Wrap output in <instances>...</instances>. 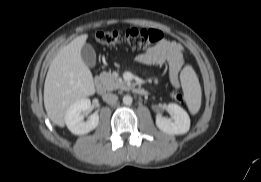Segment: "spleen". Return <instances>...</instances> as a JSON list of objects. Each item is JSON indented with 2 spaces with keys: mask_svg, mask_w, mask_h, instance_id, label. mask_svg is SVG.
Instances as JSON below:
<instances>
[{
  "mask_svg": "<svg viewBox=\"0 0 261 182\" xmlns=\"http://www.w3.org/2000/svg\"><path fill=\"white\" fill-rule=\"evenodd\" d=\"M182 89L186 104L192 114H196L201 107V87L193 68L185 66L180 74Z\"/></svg>",
  "mask_w": 261,
  "mask_h": 182,
  "instance_id": "spleen-1",
  "label": "spleen"
}]
</instances>
